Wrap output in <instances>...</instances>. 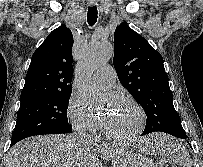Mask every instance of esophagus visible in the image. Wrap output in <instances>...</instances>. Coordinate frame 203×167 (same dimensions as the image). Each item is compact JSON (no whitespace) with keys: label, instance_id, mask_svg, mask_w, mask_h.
Listing matches in <instances>:
<instances>
[{"label":"esophagus","instance_id":"obj_1","mask_svg":"<svg viewBox=\"0 0 203 167\" xmlns=\"http://www.w3.org/2000/svg\"><path fill=\"white\" fill-rule=\"evenodd\" d=\"M90 5H94V1L93 0H91Z\"/></svg>","mask_w":203,"mask_h":167}]
</instances>
